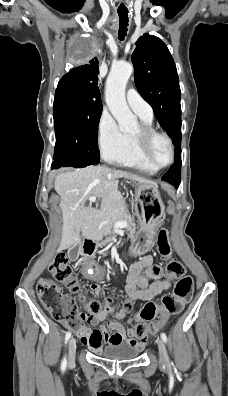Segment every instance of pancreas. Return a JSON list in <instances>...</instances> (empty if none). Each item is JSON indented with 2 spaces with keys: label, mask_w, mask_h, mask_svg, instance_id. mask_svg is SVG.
<instances>
[{
  "label": "pancreas",
  "mask_w": 228,
  "mask_h": 396,
  "mask_svg": "<svg viewBox=\"0 0 228 396\" xmlns=\"http://www.w3.org/2000/svg\"><path fill=\"white\" fill-rule=\"evenodd\" d=\"M123 219H126L129 222V225L125 228L128 231V234H129V236H127V237H132L134 232H135V227H134V224L132 223V221L135 220V217L132 216L131 214H124V215H120L119 217L118 216H112L111 218H109V220H108L109 232H112V227H113L114 222L120 221V220H123ZM110 234H112V233H110ZM110 240H113V239H110V238L107 237L105 240L101 241V244L102 245H108Z\"/></svg>",
  "instance_id": "cf45deb5"
}]
</instances>
